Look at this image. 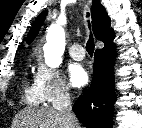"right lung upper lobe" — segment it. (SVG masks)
Segmentation results:
<instances>
[{
	"mask_svg": "<svg viewBox=\"0 0 142 128\" xmlns=\"http://www.w3.org/2000/svg\"><path fill=\"white\" fill-rule=\"evenodd\" d=\"M46 14L47 12H43L36 18L27 36L28 44L32 42L38 34V31L45 19ZM91 16L92 28L95 37L98 40L103 41L105 47L112 45L114 39V32L110 28V18L108 17L105 8L101 5L100 0H93L91 6Z\"/></svg>",
	"mask_w": 142,
	"mask_h": 128,
	"instance_id": "cb5924a9",
	"label": "right lung upper lobe"
}]
</instances>
